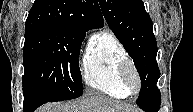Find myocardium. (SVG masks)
Instances as JSON below:
<instances>
[{
	"label": "myocardium",
	"instance_id": "obj_1",
	"mask_svg": "<svg viewBox=\"0 0 193 112\" xmlns=\"http://www.w3.org/2000/svg\"><path fill=\"white\" fill-rule=\"evenodd\" d=\"M120 77L131 94L138 93L141 89V78L131 58L124 59L119 66Z\"/></svg>",
	"mask_w": 193,
	"mask_h": 112
}]
</instances>
